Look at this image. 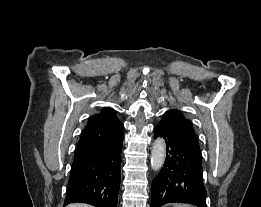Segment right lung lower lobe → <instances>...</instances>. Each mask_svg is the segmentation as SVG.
I'll return each instance as SVG.
<instances>
[{
	"mask_svg": "<svg viewBox=\"0 0 261 207\" xmlns=\"http://www.w3.org/2000/svg\"><path fill=\"white\" fill-rule=\"evenodd\" d=\"M123 137L74 155L64 205L73 202L95 207H117Z\"/></svg>",
	"mask_w": 261,
	"mask_h": 207,
	"instance_id": "1",
	"label": "right lung lower lobe"
}]
</instances>
